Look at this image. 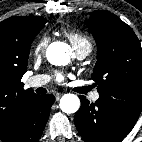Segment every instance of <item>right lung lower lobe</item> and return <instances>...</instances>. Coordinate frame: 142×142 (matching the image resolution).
Masks as SVG:
<instances>
[{"label":"right lung lower lobe","mask_w":142,"mask_h":142,"mask_svg":"<svg viewBox=\"0 0 142 142\" xmlns=\"http://www.w3.org/2000/svg\"><path fill=\"white\" fill-rule=\"evenodd\" d=\"M55 97L36 95L26 106L12 132L1 137L3 142H37L44 130Z\"/></svg>","instance_id":"98d812e1"}]
</instances>
